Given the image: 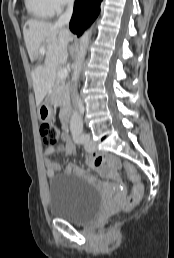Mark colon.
I'll list each match as a JSON object with an SVG mask.
<instances>
[{
    "mask_svg": "<svg viewBox=\"0 0 174 258\" xmlns=\"http://www.w3.org/2000/svg\"><path fill=\"white\" fill-rule=\"evenodd\" d=\"M61 127L53 122H45L40 127V134L46 145L53 147L57 144L61 136ZM126 170L130 180L132 181L133 189L130 196L122 203V209L124 211L130 210L140 200L143 192V186L140 181L139 175L135 169L130 165L126 164Z\"/></svg>",
    "mask_w": 174,
    "mask_h": 258,
    "instance_id": "colon-1",
    "label": "colon"
}]
</instances>
